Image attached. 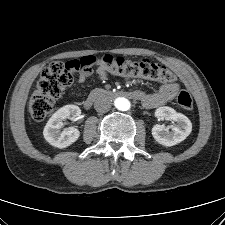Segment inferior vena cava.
Returning a JSON list of instances; mask_svg holds the SVG:
<instances>
[{"mask_svg":"<svg viewBox=\"0 0 225 225\" xmlns=\"http://www.w3.org/2000/svg\"><path fill=\"white\" fill-rule=\"evenodd\" d=\"M94 108L99 113L108 112L111 108V102L104 97H99L94 103Z\"/></svg>","mask_w":225,"mask_h":225,"instance_id":"1","label":"inferior vena cava"}]
</instances>
